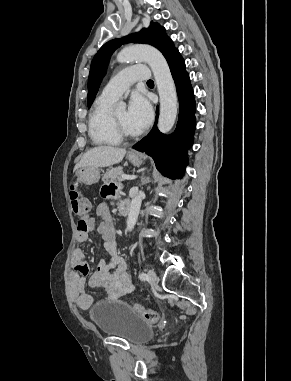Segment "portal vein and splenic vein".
<instances>
[{
	"label": "portal vein and splenic vein",
	"instance_id": "obj_1",
	"mask_svg": "<svg viewBox=\"0 0 291 381\" xmlns=\"http://www.w3.org/2000/svg\"><path fill=\"white\" fill-rule=\"evenodd\" d=\"M121 177H122V179L132 180V179H135L137 176L122 174Z\"/></svg>",
	"mask_w": 291,
	"mask_h": 381
}]
</instances>
